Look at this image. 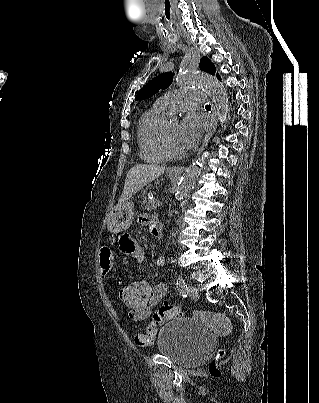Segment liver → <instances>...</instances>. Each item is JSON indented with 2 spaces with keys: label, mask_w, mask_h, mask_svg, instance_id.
<instances>
[{
  "label": "liver",
  "mask_w": 319,
  "mask_h": 403,
  "mask_svg": "<svg viewBox=\"0 0 319 403\" xmlns=\"http://www.w3.org/2000/svg\"><path fill=\"white\" fill-rule=\"evenodd\" d=\"M164 171V166L154 164H138L132 167L127 173L124 189L118 200V205L124 204L145 185L163 174Z\"/></svg>",
  "instance_id": "obj_1"
}]
</instances>
